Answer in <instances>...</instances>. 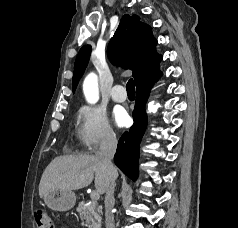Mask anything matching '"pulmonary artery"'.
<instances>
[{
  "mask_svg": "<svg viewBox=\"0 0 238 228\" xmlns=\"http://www.w3.org/2000/svg\"><path fill=\"white\" fill-rule=\"evenodd\" d=\"M111 97L116 102H124L127 94L122 85H115L111 90Z\"/></svg>",
  "mask_w": 238,
  "mask_h": 228,
  "instance_id": "obj_1",
  "label": "pulmonary artery"
}]
</instances>
